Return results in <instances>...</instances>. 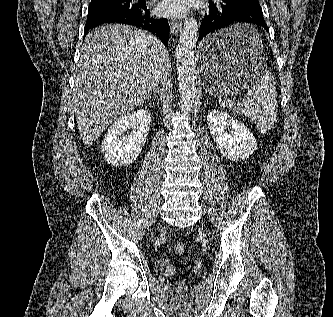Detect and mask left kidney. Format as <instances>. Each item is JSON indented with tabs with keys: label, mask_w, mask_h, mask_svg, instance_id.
Segmentation results:
<instances>
[{
	"label": "left kidney",
	"mask_w": 333,
	"mask_h": 317,
	"mask_svg": "<svg viewBox=\"0 0 333 317\" xmlns=\"http://www.w3.org/2000/svg\"><path fill=\"white\" fill-rule=\"evenodd\" d=\"M207 124L223 157L232 161L244 160L257 150L256 139L251 131L227 112L209 111Z\"/></svg>",
	"instance_id": "1"
}]
</instances>
